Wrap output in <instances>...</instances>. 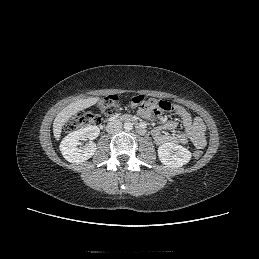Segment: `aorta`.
I'll list each match as a JSON object with an SVG mask.
<instances>
[{"label": "aorta", "mask_w": 259, "mask_h": 259, "mask_svg": "<svg viewBox=\"0 0 259 259\" xmlns=\"http://www.w3.org/2000/svg\"><path fill=\"white\" fill-rule=\"evenodd\" d=\"M124 129L126 131H131L133 129V124L131 122H125L124 123Z\"/></svg>", "instance_id": "762f6f07"}]
</instances>
